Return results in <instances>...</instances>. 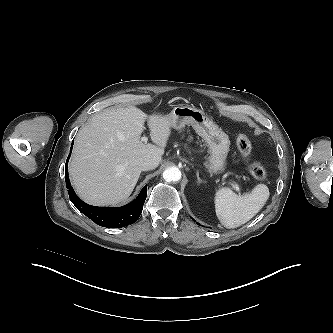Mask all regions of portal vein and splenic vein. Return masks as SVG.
<instances>
[{"label":"portal vein and splenic vein","mask_w":333,"mask_h":333,"mask_svg":"<svg viewBox=\"0 0 333 333\" xmlns=\"http://www.w3.org/2000/svg\"><path fill=\"white\" fill-rule=\"evenodd\" d=\"M141 141L146 142V141H147V137H141ZM232 185H233L234 189H235L237 192H239L240 189H239L238 184H236L235 182H232Z\"/></svg>","instance_id":"portal-vein-and-splenic-vein-1"}]
</instances>
